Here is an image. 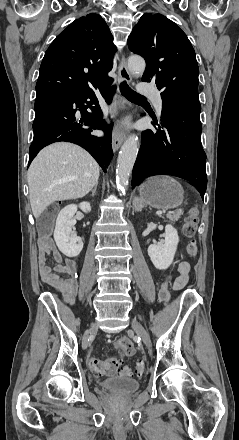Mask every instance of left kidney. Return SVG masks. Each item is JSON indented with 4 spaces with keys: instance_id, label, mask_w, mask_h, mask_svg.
<instances>
[{
    "instance_id": "left-kidney-1",
    "label": "left kidney",
    "mask_w": 239,
    "mask_h": 440,
    "mask_svg": "<svg viewBox=\"0 0 239 440\" xmlns=\"http://www.w3.org/2000/svg\"><path fill=\"white\" fill-rule=\"evenodd\" d=\"M179 236L173 226H165L164 244H151L147 252L148 256L157 270H167L171 266L176 254Z\"/></svg>"
}]
</instances>
